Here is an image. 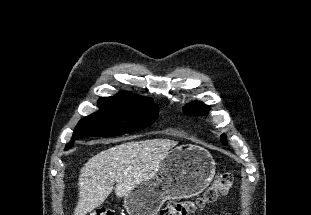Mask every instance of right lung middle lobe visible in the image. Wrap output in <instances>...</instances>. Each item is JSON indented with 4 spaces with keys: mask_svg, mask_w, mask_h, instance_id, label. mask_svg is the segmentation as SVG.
<instances>
[{
    "mask_svg": "<svg viewBox=\"0 0 311 215\" xmlns=\"http://www.w3.org/2000/svg\"><path fill=\"white\" fill-rule=\"evenodd\" d=\"M99 111L82 118L77 124L71 142L85 137H104L133 132L152 125L159 113L153 102H133L115 98H101ZM72 146L66 145L65 150Z\"/></svg>",
    "mask_w": 311,
    "mask_h": 215,
    "instance_id": "1",
    "label": "right lung middle lobe"
}]
</instances>
